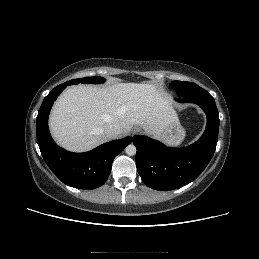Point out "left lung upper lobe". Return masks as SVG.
Segmentation results:
<instances>
[{
  "instance_id": "left-lung-upper-lobe-1",
  "label": "left lung upper lobe",
  "mask_w": 259,
  "mask_h": 259,
  "mask_svg": "<svg viewBox=\"0 0 259 259\" xmlns=\"http://www.w3.org/2000/svg\"><path fill=\"white\" fill-rule=\"evenodd\" d=\"M169 87L174 89L180 97L208 93L205 89L193 82L173 81Z\"/></svg>"
}]
</instances>
